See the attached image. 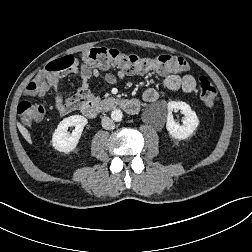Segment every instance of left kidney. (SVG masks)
<instances>
[{
  "label": "left kidney",
  "mask_w": 252,
  "mask_h": 252,
  "mask_svg": "<svg viewBox=\"0 0 252 252\" xmlns=\"http://www.w3.org/2000/svg\"><path fill=\"white\" fill-rule=\"evenodd\" d=\"M168 116L166 128L169 134L176 139H186L188 138L199 124L198 117L196 113L191 109V107L185 102L170 101L167 104ZM173 110H180L184 114L182 120L183 124H177L171 114Z\"/></svg>",
  "instance_id": "5707ae66"
}]
</instances>
